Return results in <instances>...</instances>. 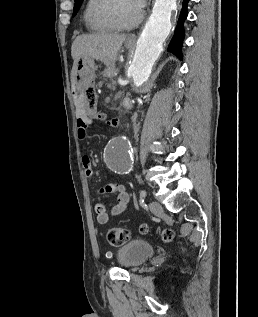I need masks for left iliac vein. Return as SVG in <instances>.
<instances>
[{
    "label": "left iliac vein",
    "mask_w": 258,
    "mask_h": 317,
    "mask_svg": "<svg viewBox=\"0 0 258 317\" xmlns=\"http://www.w3.org/2000/svg\"><path fill=\"white\" fill-rule=\"evenodd\" d=\"M150 209L153 211L154 215H159L164 211V208L160 205V203L157 200L151 201Z\"/></svg>",
    "instance_id": "left-iliac-vein-1"
}]
</instances>
